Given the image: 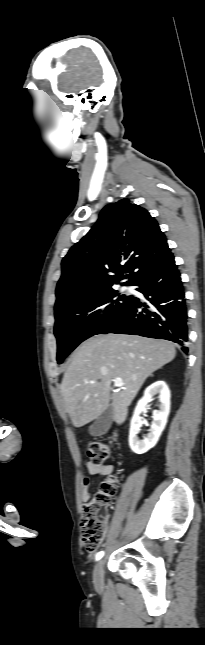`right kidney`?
Masks as SVG:
<instances>
[{"label": "right kidney", "instance_id": "right-kidney-1", "mask_svg": "<svg viewBox=\"0 0 205 645\" xmlns=\"http://www.w3.org/2000/svg\"><path fill=\"white\" fill-rule=\"evenodd\" d=\"M157 394H159L160 401L159 410L153 411V421L149 432L143 437V439H140L138 434L140 433L143 421L139 414L145 410L147 404L153 401V396ZM169 412L170 390L167 384L164 381H157L147 387L143 397L137 403L130 423L129 446L134 453H146L156 445L166 426Z\"/></svg>", "mask_w": 205, "mask_h": 645}]
</instances>
